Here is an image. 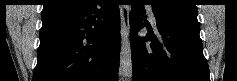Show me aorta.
<instances>
[{"instance_id": "762f6f07", "label": "aorta", "mask_w": 237, "mask_h": 81, "mask_svg": "<svg viewBox=\"0 0 237 81\" xmlns=\"http://www.w3.org/2000/svg\"><path fill=\"white\" fill-rule=\"evenodd\" d=\"M132 80V54L131 46L126 28L121 41L120 49V65H119V81Z\"/></svg>"}]
</instances>
